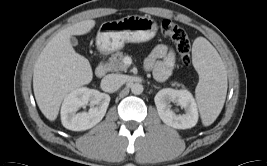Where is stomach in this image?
I'll use <instances>...</instances> for the list:
<instances>
[{"label":"stomach","mask_w":267,"mask_h":166,"mask_svg":"<svg viewBox=\"0 0 267 166\" xmlns=\"http://www.w3.org/2000/svg\"><path fill=\"white\" fill-rule=\"evenodd\" d=\"M157 29V23L150 17L126 16L104 22L98 31L96 45L101 53H111L122 49L126 42L149 41L156 35Z\"/></svg>","instance_id":"obj_1"}]
</instances>
